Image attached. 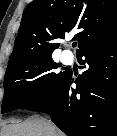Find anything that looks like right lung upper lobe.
<instances>
[{
  "mask_svg": "<svg viewBox=\"0 0 117 136\" xmlns=\"http://www.w3.org/2000/svg\"><path fill=\"white\" fill-rule=\"evenodd\" d=\"M117 29V0H33L25 9L8 65L52 56L65 34L77 31L78 52Z\"/></svg>",
  "mask_w": 117,
  "mask_h": 136,
  "instance_id": "right-lung-upper-lobe-1",
  "label": "right lung upper lobe"
}]
</instances>
